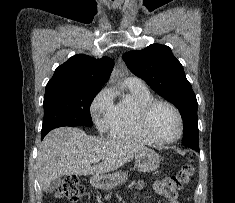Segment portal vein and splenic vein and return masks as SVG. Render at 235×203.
Here are the masks:
<instances>
[{
  "instance_id": "portal-vein-and-splenic-vein-1",
  "label": "portal vein and splenic vein",
  "mask_w": 235,
  "mask_h": 203,
  "mask_svg": "<svg viewBox=\"0 0 235 203\" xmlns=\"http://www.w3.org/2000/svg\"><path fill=\"white\" fill-rule=\"evenodd\" d=\"M93 162L97 163V162H99V159L96 158L93 160Z\"/></svg>"
}]
</instances>
